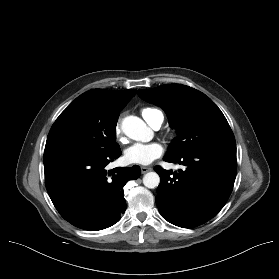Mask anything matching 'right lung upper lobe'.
Here are the masks:
<instances>
[{
    "label": "right lung upper lobe",
    "mask_w": 279,
    "mask_h": 279,
    "mask_svg": "<svg viewBox=\"0 0 279 279\" xmlns=\"http://www.w3.org/2000/svg\"><path fill=\"white\" fill-rule=\"evenodd\" d=\"M135 94V89L124 91L92 89L81 96L98 110L120 112Z\"/></svg>",
    "instance_id": "cb5924a9"
}]
</instances>
